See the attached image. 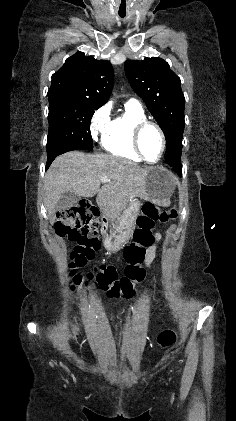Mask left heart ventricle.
Here are the masks:
<instances>
[{
  "label": "left heart ventricle",
  "instance_id": "left-heart-ventricle-1",
  "mask_svg": "<svg viewBox=\"0 0 236 421\" xmlns=\"http://www.w3.org/2000/svg\"><path fill=\"white\" fill-rule=\"evenodd\" d=\"M141 148L147 159L156 162L162 153V141L153 127H146L141 134Z\"/></svg>",
  "mask_w": 236,
  "mask_h": 421
}]
</instances>
